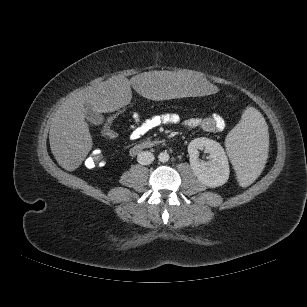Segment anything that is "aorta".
Returning <instances> with one entry per match:
<instances>
[{
  "label": "aorta",
  "mask_w": 307,
  "mask_h": 307,
  "mask_svg": "<svg viewBox=\"0 0 307 307\" xmlns=\"http://www.w3.org/2000/svg\"><path fill=\"white\" fill-rule=\"evenodd\" d=\"M169 158H170V156H169L167 151H163V152L159 153V155H158L159 161L163 162V163L167 162L169 160Z\"/></svg>",
  "instance_id": "obj_1"
}]
</instances>
